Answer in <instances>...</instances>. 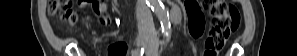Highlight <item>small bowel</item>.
<instances>
[{
	"label": "small bowel",
	"instance_id": "c3829d8e",
	"mask_svg": "<svg viewBox=\"0 0 297 56\" xmlns=\"http://www.w3.org/2000/svg\"><path fill=\"white\" fill-rule=\"evenodd\" d=\"M186 12L189 16V32L191 36L198 38L204 31V18L201 13L198 2L195 0H188L186 5ZM126 46L122 44L113 45L109 49V55L114 56L117 52H125Z\"/></svg>",
	"mask_w": 297,
	"mask_h": 56
}]
</instances>
